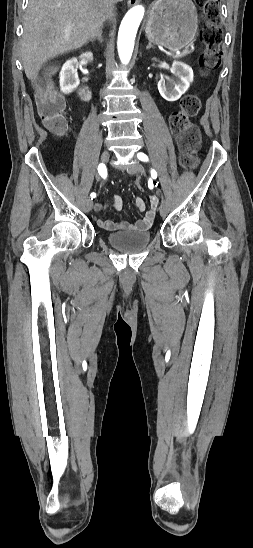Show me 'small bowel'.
<instances>
[{"label": "small bowel", "instance_id": "small-bowel-1", "mask_svg": "<svg viewBox=\"0 0 253 548\" xmlns=\"http://www.w3.org/2000/svg\"><path fill=\"white\" fill-rule=\"evenodd\" d=\"M157 204H158L157 197L155 196L151 197L150 208L146 210V205L144 200L140 197H136L135 207L139 212H142L143 215L134 224L129 223L127 221L114 222L111 220H104L100 217L96 218V222L98 226L108 231H114V230L144 231L150 226V224L152 223L154 219ZM111 205L116 210H121L123 207L122 198L119 195H114L111 199ZM94 209L96 212H100L102 209H104V206L101 203H96L94 206Z\"/></svg>", "mask_w": 253, "mask_h": 548}]
</instances>
